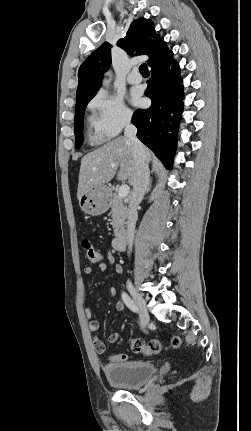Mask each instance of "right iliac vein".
<instances>
[{
    "instance_id": "63e3f726",
    "label": "right iliac vein",
    "mask_w": 251,
    "mask_h": 431,
    "mask_svg": "<svg viewBox=\"0 0 251 431\" xmlns=\"http://www.w3.org/2000/svg\"><path fill=\"white\" fill-rule=\"evenodd\" d=\"M127 288H128V291L130 292L136 306L139 309L142 324H143V326H146L150 321V317L148 314L145 300L143 299V297L137 292V290L131 284H128Z\"/></svg>"
}]
</instances>
